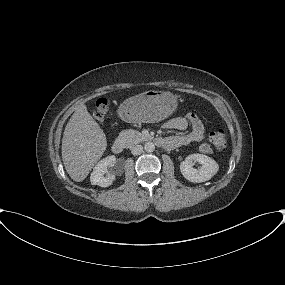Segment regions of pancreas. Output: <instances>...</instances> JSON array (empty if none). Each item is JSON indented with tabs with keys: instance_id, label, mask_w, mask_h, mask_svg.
I'll use <instances>...</instances> for the list:
<instances>
[{
	"instance_id": "cf45deb5",
	"label": "pancreas",
	"mask_w": 285,
	"mask_h": 285,
	"mask_svg": "<svg viewBox=\"0 0 285 285\" xmlns=\"http://www.w3.org/2000/svg\"><path fill=\"white\" fill-rule=\"evenodd\" d=\"M119 138L124 139L127 143L135 144L141 142L145 137L136 130H123L119 133Z\"/></svg>"
}]
</instances>
